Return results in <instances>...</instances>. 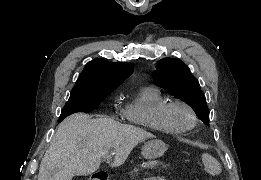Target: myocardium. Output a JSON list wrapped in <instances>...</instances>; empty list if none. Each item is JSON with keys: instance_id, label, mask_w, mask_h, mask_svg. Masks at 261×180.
Masks as SVG:
<instances>
[{"instance_id": "obj_1", "label": "myocardium", "mask_w": 261, "mask_h": 180, "mask_svg": "<svg viewBox=\"0 0 261 180\" xmlns=\"http://www.w3.org/2000/svg\"><path fill=\"white\" fill-rule=\"evenodd\" d=\"M172 108H179L183 110L187 118L183 122H175L169 116L168 112ZM160 120L163 126L173 132H187L191 130L197 122V115L195 109L187 102L183 100H173L169 101L164 107L160 109L159 112Z\"/></svg>"}]
</instances>
